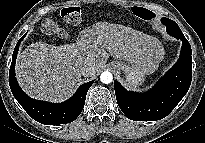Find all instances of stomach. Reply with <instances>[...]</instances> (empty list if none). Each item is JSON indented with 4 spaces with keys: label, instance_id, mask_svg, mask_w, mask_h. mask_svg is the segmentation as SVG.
Here are the masks:
<instances>
[{
    "label": "stomach",
    "instance_id": "0dacf381",
    "mask_svg": "<svg viewBox=\"0 0 205 143\" xmlns=\"http://www.w3.org/2000/svg\"><path fill=\"white\" fill-rule=\"evenodd\" d=\"M161 45L156 47L154 57L160 60L163 52ZM112 67L116 70H122L125 74V84L128 87L136 88L142 85L146 77L152 72L153 64L147 61H113Z\"/></svg>",
    "mask_w": 205,
    "mask_h": 143
}]
</instances>
